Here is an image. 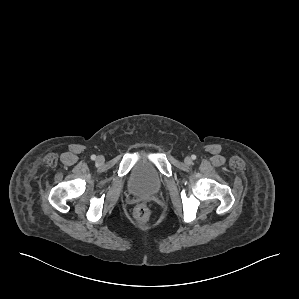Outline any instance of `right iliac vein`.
<instances>
[{
  "label": "right iliac vein",
  "mask_w": 299,
  "mask_h": 299,
  "mask_svg": "<svg viewBox=\"0 0 299 299\" xmlns=\"http://www.w3.org/2000/svg\"><path fill=\"white\" fill-rule=\"evenodd\" d=\"M96 161H97V163L102 164L104 162V157L103 156H98Z\"/></svg>",
  "instance_id": "obj_1"
}]
</instances>
